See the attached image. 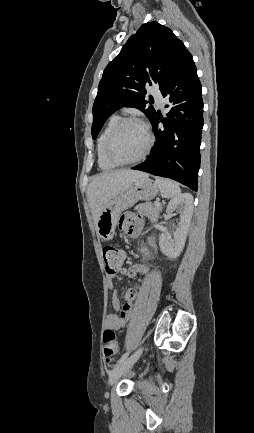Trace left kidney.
<instances>
[{"label":"left kidney","instance_id":"5707ae66","mask_svg":"<svg viewBox=\"0 0 254 433\" xmlns=\"http://www.w3.org/2000/svg\"><path fill=\"white\" fill-rule=\"evenodd\" d=\"M178 210L180 221L174 232V238L169 239L167 234L163 233L159 239V246L163 254L169 258H177L185 246L188 228L193 214V196L190 193L179 194L173 198L168 206L167 213Z\"/></svg>","mask_w":254,"mask_h":433}]
</instances>
